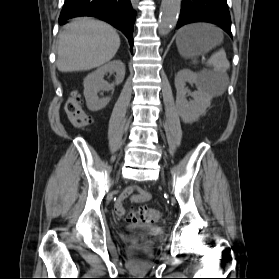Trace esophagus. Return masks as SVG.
<instances>
[{"label": "esophagus", "instance_id": "obj_1", "mask_svg": "<svg viewBox=\"0 0 279 279\" xmlns=\"http://www.w3.org/2000/svg\"><path fill=\"white\" fill-rule=\"evenodd\" d=\"M138 1H139V0H131L132 5L136 7V6H137Z\"/></svg>", "mask_w": 279, "mask_h": 279}]
</instances>
